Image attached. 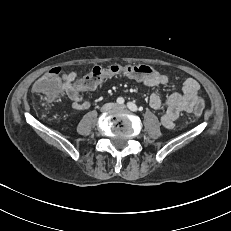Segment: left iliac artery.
<instances>
[{
    "instance_id": "1",
    "label": "left iliac artery",
    "mask_w": 231,
    "mask_h": 231,
    "mask_svg": "<svg viewBox=\"0 0 231 231\" xmlns=\"http://www.w3.org/2000/svg\"><path fill=\"white\" fill-rule=\"evenodd\" d=\"M127 107L133 112H137V110H138L137 106L132 102H128Z\"/></svg>"
}]
</instances>
